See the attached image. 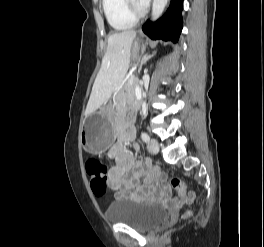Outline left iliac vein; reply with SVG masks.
Listing matches in <instances>:
<instances>
[{"mask_svg": "<svg viewBox=\"0 0 264 247\" xmlns=\"http://www.w3.org/2000/svg\"><path fill=\"white\" fill-rule=\"evenodd\" d=\"M147 149L150 153L152 154H157L159 151V145L157 140L155 139H151V141L149 142V144L147 145Z\"/></svg>", "mask_w": 264, "mask_h": 247, "instance_id": "left-iliac-vein-1", "label": "left iliac vein"}]
</instances>
